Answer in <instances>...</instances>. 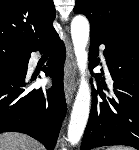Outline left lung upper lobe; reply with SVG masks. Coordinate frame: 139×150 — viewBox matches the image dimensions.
Masks as SVG:
<instances>
[{
	"mask_svg": "<svg viewBox=\"0 0 139 150\" xmlns=\"http://www.w3.org/2000/svg\"><path fill=\"white\" fill-rule=\"evenodd\" d=\"M74 12L84 14L90 33L108 44L139 30V0H76Z\"/></svg>",
	"mask_w": 139,
	"mask_h": 150,
	"instance_id": "1",
	"label": "left lung upper lobe"
}]
</instances>
